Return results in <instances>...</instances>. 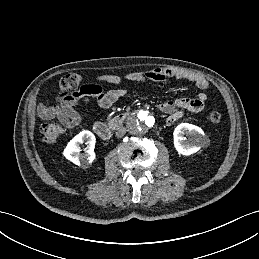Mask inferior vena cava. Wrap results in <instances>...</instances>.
<instances>
[{
  "label": "inferior vena cava",
  "mask_w": 259,
  "mask_h": 259,
  "mask_svg": "<svg viewBox=\"0 0 259 259\" xmlns=\"http://www.w3.org/2000/svg\"><path fill=\"white\" fill-rule=\"evenodd\" d=\"M127 132V129L125 127H118L116 129V137L122 138Z\"/></svg>",
  "instance_id": "obj_1"
}]
</instances>
